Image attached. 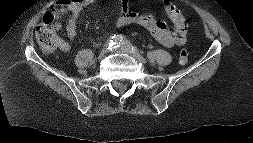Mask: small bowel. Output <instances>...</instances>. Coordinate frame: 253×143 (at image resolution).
I'll use <instances>...</instances> for the list:
<instances>
[{"mask_svg":"<svg viewBox=\"0 0 253 143\" xmlns=\"http://www.w3.org/2000/svg\"><path fill=\"white\" fill-rule=\"evenodd\" d=\"M105 0H57L55 5V21L54 25L56 29L62 28V16L69 13V19L66 24V32L70 41H72L77 35V23L81 12L91 6L103 3ZM120 6L118 14L115 17V25L117 27H125L128 25H139L147 29L151 35L162 45L166 47L181 46L186 41V31H181L177 28V21L173 14V9L176 6L166 1L164 4L165 12L174 24V31L162 20L157 19L153 14H142L130 10V0H119ZM181 20L185 22L182 13L179 11ZM60 48L63 51L71 49V43L67 41L60 42Z\"/></svg>","mask_w":253,"mask_h":143,"instance_id":"c3829d8e","label":"small bowel"}]
</instances>
